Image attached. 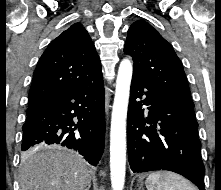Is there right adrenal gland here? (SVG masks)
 Here are the masks:
<instances>
[{
  "mask_svg": "<svg viewBox=\"0 0 221 190\" xmlns=\"http://www.w3.org/2000/svg\"><path fill=\"white\" fill-rule=\"evenodd\" d=\"M91 187V184L88 185V187L85 190H89Z\"/></svg>",
  "mask_w": 221,
  "mask_h": 190,
  "instance_id": "obj_1",
  "label": "right adrenal gland"
}]
</instances>
